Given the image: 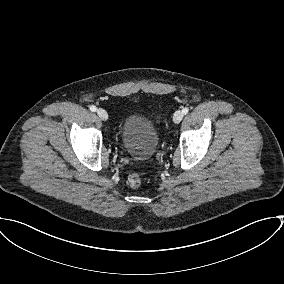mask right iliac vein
I'll return each mask as SVG.
<instances>
[{
  "label": "right iliac vein",
  "mask_w": 284,
  "mask_h": 284,
  "mask_svg": "<svg viewBox=\"0 0 284 284\" xmlns=\"http://www.w3.org/2000/svg\"><path fill=\"white\" fill-rule=\"evenodd\" d=\"M97 115L99 116L100 119L106 121L108 119V114L104 109L99 108L97 110Z\"/></svg>",
  "instance_id": "63e3f726"
}]
</instances>
